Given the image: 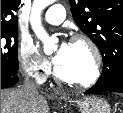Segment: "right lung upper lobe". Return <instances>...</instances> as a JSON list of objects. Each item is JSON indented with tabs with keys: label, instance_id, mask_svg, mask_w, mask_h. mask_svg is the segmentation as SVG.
<instances>
[{
	"label": "right lung upper lobe",
	"instance_id": "obj_1",
	"mask_svg": "<svg viewBox=\"0 0 123 113\" xmlns=\"http://www.w3.org/2000/svg\"><path fill=\"white\" fill-rule=\"evenodd\" d=\"M21 0H1V29H17L15 15Z\"/></svg>",
	"mask_w": 123,
	"mask_h": 113
}]
</instances>
